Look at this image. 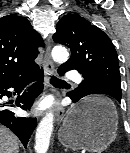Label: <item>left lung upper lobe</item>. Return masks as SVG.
<instances>
[{
	"label": "left lung upper lobe",
	"mask_w": 130,
	"mask_h": 153,
	"mask_svg": "<svg viewBox=\"0 0 130 153\" xmlns=\"http://www.w3.org/2000/svg\"><path fill=\"white\" fill-rule=\"evenodd\" d=\"M53 40L71 50L70 59L59 68L76 69L87 77L86 87L80 84L68 94L80 97L86 88L99 89L121 101L118 57L105 32L78 14H67L57 23Z\"/></svg>",
	"instance_id": "obj_1"
}]
</instances>
